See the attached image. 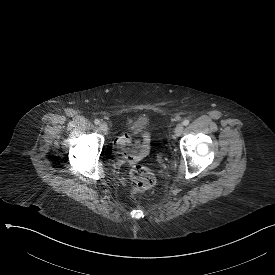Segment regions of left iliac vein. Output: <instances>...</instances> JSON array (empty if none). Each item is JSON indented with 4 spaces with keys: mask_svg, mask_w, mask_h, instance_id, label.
<instances>
[{
    "mask_svg": "<svg viewBox=\"0 0 275 275\" xmlns=\"http://www.w3.org/2000/svg\"><path fill=\"white\" fill-rule=\"evenodd\" d=\"M183 131H184V126L182 124H178L176 129H175L176 136H181Z\"/></svg>",
    "mask_w": 275,
    "mask_h": 275,
    "instance_id": "1",
    "label": "left iliac vein"
}]
</instances>
